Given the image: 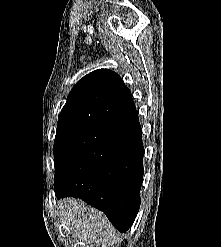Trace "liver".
<instances>
[{
	"instance_id": "obj_1",
	"label": "liver",
	"mask_w": 221,
	"mask_h": 247,
	"mask_svg": "<svg viewBox=\"0 0 221 247\" xmlns=\"http://www.w3.org/2000/svg\"><path fill=\"white\" fill-rule=\"evenodd\" d=\"M58 214L71 231L86 243L94 242L96 247H115L121 241L106 216L79 199L61 200Z\"/></svg>"
}]
</instances>
